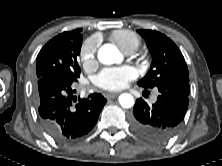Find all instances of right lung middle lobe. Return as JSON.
<instances>
[{"label":"right lung middle lobe","instance_id":"dd1d6c3e","mask_svg":"<svg viewBox=\"0 0 222 166\" xmlns=\"http://www.w3.org/2000/svg\"><path fill=\"white\" fill-rule=\"evenodd\" d=\"M81 30L63 32L48 41L36 58L37 78L48 73H63L73 80L80 77L78 56L82 46Z\"/></svg>","mask_w":222,"mask_h":166}]
</instances>
